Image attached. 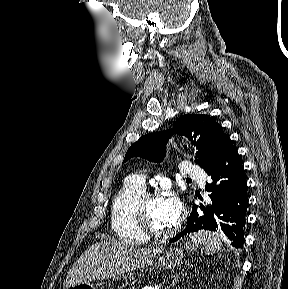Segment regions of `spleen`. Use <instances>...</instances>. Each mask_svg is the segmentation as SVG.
<instances>
[{"label":"spleen","mask_w":288,"mask_h":289,"mask_svg":"<svg viewBox=\"0 0 288 289\" xmlns=\"http://www.w3.org/2000/svg\"><path fill=\"white\" fill-rule=\"evenodd\" d=\"M194 238L205 247L207 255H213L222 248L221 235L217 232L201 230Z\"/></svg>","instance_id":"obj_1"}]
</instances>
